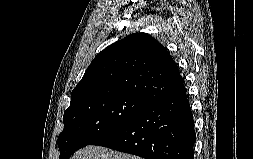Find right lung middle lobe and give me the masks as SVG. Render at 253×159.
Wrapping results in <instances>:
<instances>
[{
	"label": "right lung middle lobe",
	"mask_w": 253,
	"mask_h": 159,
	"mask_svg": "<svg viewBox=\"0 0 253 159\" xmlns=\"http://www.w3.org/2000/svg\"><path fill=\"white\" fill-rule=\"evenodd\" d=\"M153 102L132 94L93 96L72 101L64 113V129L58 137L59 159L93 144L116 130Z\"/></svg>",
	"instance_id": "right-lung-middle-lobe-1"
}]
</instances>
